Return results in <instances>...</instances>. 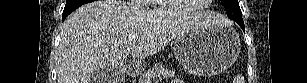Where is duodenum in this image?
I'll return each instance as SVG.
<instances>
[{
	"mask_svg": "<svg viewBox=\"0 0 307 83\" xmlns=\"http://www.w3.org/2000/svg\"><path fill=\"white\" fill-rule=\"evenodd\" d=\"M128 73H129L130 75H134V74L136 73V70L133 69L132 66H130V67L128 68Z\"/></svg>",
	"mask_w": 307,
	"mask_h": 83,
	"instance_id": "duodenum-1",
	"label": "duodenum"
}]
</instances>
